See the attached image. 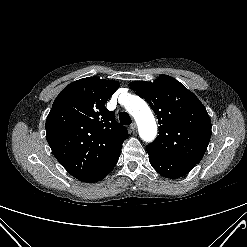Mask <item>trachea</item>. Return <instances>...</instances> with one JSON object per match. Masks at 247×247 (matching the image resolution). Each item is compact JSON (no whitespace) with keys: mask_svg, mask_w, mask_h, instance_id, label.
I'll return each instance as SVG.
<instances>
[{"mask_svg":"<svg viewBox=\"0 0 247 247\" xmlns=\"http://www.w3.org/2000/svg\"><path fill=\"white\" fill-rule=\"evenodd\" d=\"M119 120H120V122H121L122 124H124V125H129V124H131V122H132L131 117H130L129 114L126 113V112L120 113V115H119Z\"/></svg>","mask_w":247,"mask_h":247,"instance_id":"trachea-1","label":"trachea"}]
</instances>
